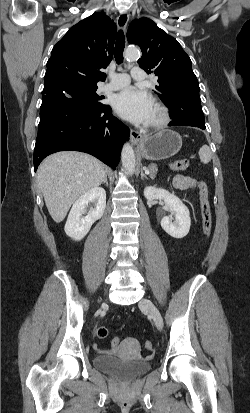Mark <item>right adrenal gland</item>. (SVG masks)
I'll use <instances>...</instances> for the list:
<instances>
[{
	"label": "right adrenal gland",
	"mask_w": 250,
	"mask_h": 413,
	"mask_svg": "<svg viewBox=\"0 0 250 413\" xmlns=\"http://www.w3.org/2000/svg\"><path fill=\"white\" fill-rule=\"evenodd\" d=\"M103 184H105L108 187L107 174H105Z\"/></svg>",
	"instance_id": "obj_1"
}]
</instances>
